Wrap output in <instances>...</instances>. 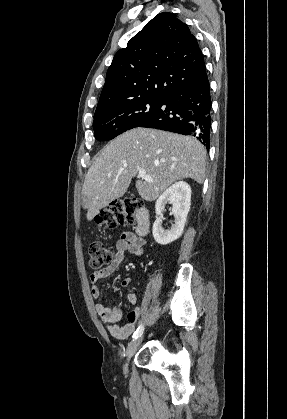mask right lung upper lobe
Instances as JSON below:
<instances>
[{"instance_id": "obj_1", "label": "right lung upper lobe", "mask_w": 287, "mask_h": 419, "mask_svg": "<svg viewBox=\"0 0 287 419\" xmlns=\"http://www.w3.org/2000/svg\"><path fill=\"white\" fill-rule=\"evenodd\" d=\"M205 76L196 38L174 14L163 12L115 54L96 112L137 98L164 97Z\"/></svg>"}]
</instances>
